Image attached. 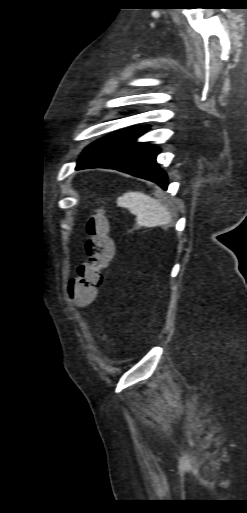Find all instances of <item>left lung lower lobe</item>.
Returning a JSON list of instances; mask_svg holds the SVG:
<instances>
[{
	"mask_svg": "<svg viewBox=\"0 0 247 513\" xmlns=\"http://www.w3.org/2000/svg\"><path fill=\"white\" fill-rule=\"evenodd\" d=\"M148 129L147 126L114 132L88 146L76 169L110 168L157 183L167 190V175L156 163L160 149L136 139Z\"/></svg>",
	"mask_w": 247,
	"mask_h": 513,
	"instance_id": "obj_1",
	"label": "left lung lower lobe"
}]
</instances>
